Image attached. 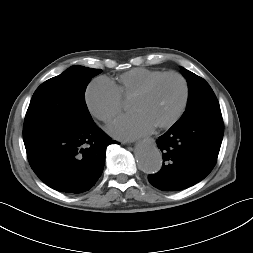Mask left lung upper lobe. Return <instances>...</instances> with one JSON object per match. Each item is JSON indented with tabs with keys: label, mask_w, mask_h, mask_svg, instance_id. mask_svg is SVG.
Instances as JSON below:
<instances>
[{
	"label": "left lung upper lobe",
	"mask_w": 253,
	"mask_h": 253,
	"mask_svg": "<svg viewBox=\"0 0 253 253\" xmlns=\"http://www.w3.org/2000/svg\"><path fill=\"white\" fill-rule=\"evenodd\" d=\"M182 72L188 82L189 98L184 114L175 124L201 120L223 121L218 100L209 84L185 68H182Z\"/></svg>",
	"instance_id": "5c2ea615"
}]
</instances>
